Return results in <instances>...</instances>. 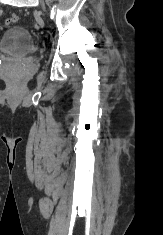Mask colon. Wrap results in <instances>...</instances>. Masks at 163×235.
<instances>
[{
    "label": "colon",
    "instance_id": "5ec220e1",
    "mask_svg": "<svg viewBox=\"0 0 163 235\" xmlns=\"http://www.w3.org/2000/svg\"><path fill=\"white\" fill-rule=\"evenodd\" d=\"M18 20H19V17H18L16 14H13V15L9 16V17L6 19L5 23H6V25H13V24H15Z\"/></svg>",
    "mask_w": 163,
    "mask_h": 235
}]
</instances>
